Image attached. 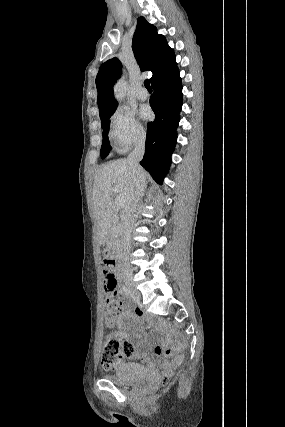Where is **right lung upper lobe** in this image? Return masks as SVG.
I'll return each mask as SVG.
<instances>
[{"label": "right lung upper lobe", "mask_w": 285, "mask_h": 427, "mask_svg": "<svg viewBox=\"0 0 285 427\" xmlns=\"http://www.w3.org/2000/svg\"><path fill=\"white\" fill-rule=\"evenodd\" d=\"M132 49L141 71L152 72L150 78L152 86L178 71L173 49L168 46L165 37L157 33L156 27L149 24L144 17L137 20ZM121 69L122 64L117 58L106 61L99 68L96 87L101 121L111 116L117 108L113 85L120 77Z\"/></svg>", "instance_id": "right-lung-upper-lobe-1"}]
</instances>
